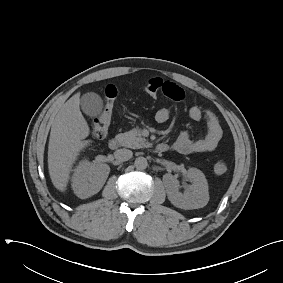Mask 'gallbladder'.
Wrapping results in <instances>:
<instances>
[{
	"mask_svg": "<svg viewBox=\"0 0 283 283\" xmlns=\"http://www.w3.org/2000/svg\"><path fill=\"white\" fill-rule=\"evenodd\" d=\"M80 104L83 112L90 117L100 115L103 109V101L101 97L94 92L84 94L81 97Z\"/></svg>",
	"mask_w": 283,
	"mask_h": 283,
	"instance_id": "obj_1",
	"label": "gallbladder"
}]
</instances>
